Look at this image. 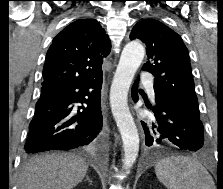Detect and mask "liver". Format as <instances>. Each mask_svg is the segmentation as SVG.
<instances>
[{"mask_svg":"<svg viewBox=\"0 0 223 189\" xmlns=\"http://www.w3.org/2000/svg\"><path fill=\"white\" fill-rule=\"evenodd\" d=\"M88 164L74 154H45L29 160L18 179V189H72L86 175Z\"/></svg>","mask_w":223,"mask_h":189,"instance_id":"liver-1","label":"liver"}]
</instances>
